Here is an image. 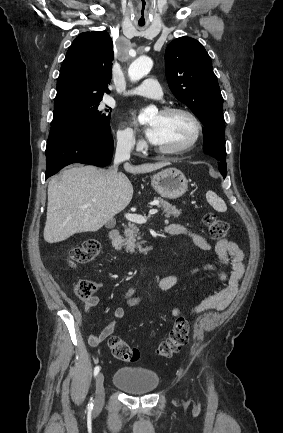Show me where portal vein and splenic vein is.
<instances>
[{
    "label": "portal vein and splenic vein",
    "instance_id": "portal-vein-and-splenic-vein-1",
    "mask_svg": "<svg viewBox=\"0 0 283 433\" xmlns=\"http://www.w3.org/2000/svg\"><path fill=\"white\" fill-rule=\"evenodd\" d=\"M156 212H158V208H150L148 217H151V214H156ZM124 217L131 223H146L148 219V217H142V214H132V212H126Z\"/></svg>",
    "mask_w": 283,
    "mask_h": 433
}]
</instances>
